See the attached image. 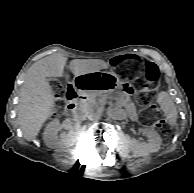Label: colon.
<instances>
[{
  "label": "colon",
  "mask_w": 194,
  "mask_h": 193,
  "mask_svg": "<svg viewBox=\"0 0 194 193\" xmlns=\"http://www.w3.org/2000/svg\"><path fill=\"white\" fill-rule=\"evenodd\" d=\"M113 66L118 69L119 74L123 78L134 77L135 74L142 67V81L144 83L143 94L140 98V103L144 109V122L148 125L158 127L164 137H168L171 133L165 119L162 118L159 109L153 104L151 100V93L158 86L159 70L152 62H144L133 57H118L113 60ZM54 93L58 99L64 95L63 88L56 84Z\"/></svg>",
  "instance_id": "obj_1"
}]
</instances>
